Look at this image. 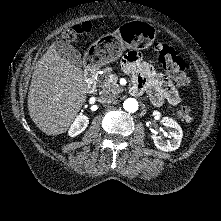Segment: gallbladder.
<instances>
[{"mask_svg":"<svg viewBox=\"0 0 221 221\" xmlns=\"http://www.w3.org/2000/svg\"><path fill=\"white\" fill-rule=\"evenodd\" d=\"M56 52L66 60H69L72 64L76 66L82 65L81 53L74 46L64 42V41H56L54 43Z\"/></svg>","mask_w":221,"mask_h":221,"instance_id":"gallbladder-1","label":"gallbladder"}]
</instances>
